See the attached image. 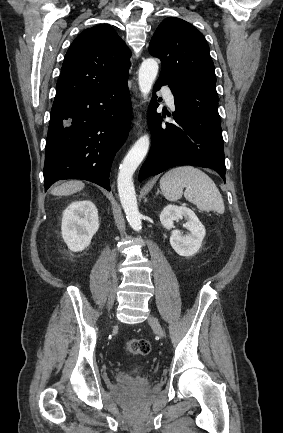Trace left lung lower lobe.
Instances as JSON below:
<instances>
[{
    "instance_id": "left-lung-lower-lobe-1",
    "label": "left lung lower lobe",
    "mask_w": 283,
    "mask_h": 433,
    "mask_svg": "<svg viewBox=\"0 0 283 433\" xmlns=\"http://www.w3.org/2000/svg\"><path fill=\"white\" fill-rule=\"evenodd\" d=\"M168 85L175 98L173 123L163 121L166 114L156 113V91ZM180 90L159 78L153 89L149 124L152 146L139 172V181L171 167L193 165L214 169L225 181L224 141L220 121L197 115L178 105ZM170 116V114H167Z\"/></svg>"
}]
</instances>
